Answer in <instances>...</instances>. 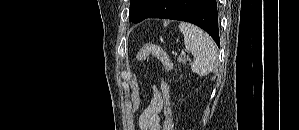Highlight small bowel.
<instances>
[{
	"label": "small bowel",
	"mask_w": 299,
	"mask_h": 130,
	"mask_svg": "<svg viewBox=\"0 0 299 130\" xmlns=\"http://www.w3.org/2000/svg\"><path fill=\"white\" fill-rule=\"evenodd\" d=\"M163 104V95L157 87H153L149 104L141 113L138 120L140 130H161L160 112Z\"/></svg>",
	"instance_id": "small-bowel-1"
}]
</instances>
